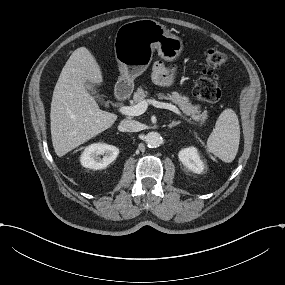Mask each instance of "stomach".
<instances>
[{"label": "stomach", "instance_id": "1", "mask_svg": "<svg viewBox=\"0 0 285 285\" xmlns=\"http://www.w3.org/2000/svg\"><path fill=\"white\" fill-rule=\"evenodd\" d=\"M165 61L176 60L183 50L181 39L152 19H139L121 25L115 35L114 51L120 81L133 83L150 65L154 50Z\"/></svg>", "mask_w": 285, "mask_h": 285}]
</instances>
